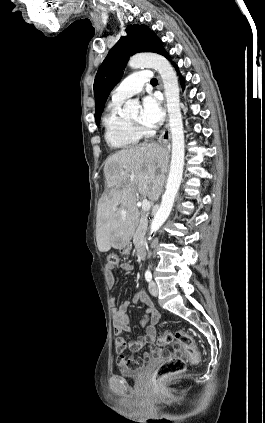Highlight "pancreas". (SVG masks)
<instances>
[{"label":"pancreas","instance_id":"pancreas-1","mask_svg":"<svg viewBox=\"0 0 265 423\" xmlns=\"http://www.w3.org/2000/svg\"><path fill=\"white\" fill-rule=\"evenodd\" d=\"M147 226H148V215L143 213L132 234L134 238V243L140 244L143 242Z\"/></svg>","mask_w":265,"mask_h":423}]
</instances>
